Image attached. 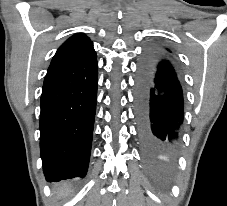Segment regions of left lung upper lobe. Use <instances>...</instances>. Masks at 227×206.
Returning a JSON list of instances; mask_svg holds the SVG:
<instances>
[{"instance_id":"left-lung-upper-lobe-1","label":"left lung upper lobe","mask_w":227,"mask_h":206,"mask_svg":"<svg viewBox=\"0 0 227 206\" xmlns=\"http://www.w3.org/2000/svg\"><path fill=\"white\" fill-rule=\"evenodd\" d=\"M156 50L161 51V52H163V53H165V54H167L168 52H170V50H168V49H166V48H163V49L158 48V49H156Z\"/></svg>"}]
</instances>
